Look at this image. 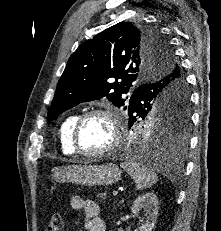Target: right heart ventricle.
<instances>
[{
  "instance_id": "obj_1",
  "label": "right heart ventricle",
  "mask_w": 221,
  "mask_h": 231,
  "mask_svg": "<svg viewBox=\"0 0 221 231\" xmlns=\"http://www.w3.org/2000/svg\"><path fill=\"white\" fill-rule=\"evenodd\" d=\"M78 118L77 114L67 116L61 123L59 128V138L61 149L65 154L72 155L75 153L71 144V134L73 125Z\"/></svg>"
}]
</instances>
